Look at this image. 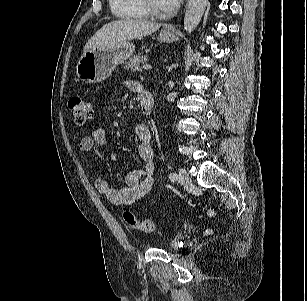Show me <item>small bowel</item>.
Returning <instances> with one entry per match:
<instances>
[{
    "mask_svg": "<svg viewBox=\"0 0 307 301\" xmlns=\"http://www.w3.org/2000/svg\"><path fill=\"white\" fill-rule=\"evenodd\" d=\"M130 88L139 91L141 88L136 83H131ZM138 141L137 153L145 163L141 170L131 172L124 177L121 188L111 187L104 179L95 178L97 191L104 195L108 201L115 205H129L148 196L154 184V151L151 144V134L147 125L138 124L134 129ZM107 135L102 128L91 129L80 141V149L84 153H91L95 145L105 146Z\"/></svg>",
    "mask_w": 307,
    "mask_h": 301,
    "instance_id": "obj_1",
    "label": "small bowel"
}]
</instances>
